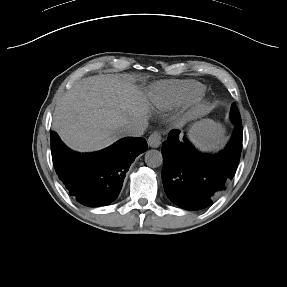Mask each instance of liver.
I'll return each instance as SVG.
<instances>
[{"label":"liver","mask_w":287,"mask_h":287,"mask_svg":"<svg viewBox=\"0 0 287 287\" xmlns=\"http://www.w3.org/2000/svg\"><path fill=\"white\" fill-rule=\"evenodd\" d=\"M150 113L146 98L128 80L94 75L75 84L58 102L53 127L70 148L102 150L124 137L122 128Z\"/></svg>","instance_id":"1"}]
</instances>
